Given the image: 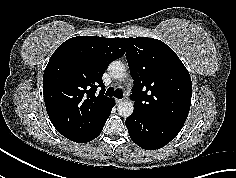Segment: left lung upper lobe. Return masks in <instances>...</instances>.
I'll return each instance as SVG.
<instances>
[{"mask_svg": "<svg viewBox=\"0 0 236 178\" xmlns=\"http://www.w3.org/2000/svg\"><path fill=\"white\" fill-rule=\"evenodd\" d=\"M134 79V111L183 126L191 105L189 72L175 52L160 40L123 38Z\"/></svg>", "mask_w": 236, "mask_h": 178, "instance_id": "5c2ea615", "label": "left lung upper lobe"}]
</instances>
